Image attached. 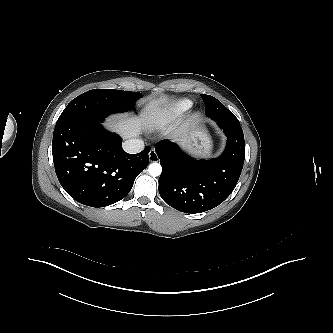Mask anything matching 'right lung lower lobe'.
Returning a JSON list of instances; mask_svg holds the SVG:
<instances>
[{
	"instance_id": "obj_1",
	"label": "right lung lower lobe",
	"mask_w": 333,
	"mask_h": 333,
	"mask_svg": "<svg viewBox=\"0 0 333 333\" xmlns=\"http://www.w3.org/2000/svg\"><path fill=\"white\" fill-rule=\"evenodd\" d=\"M121 141L104 129L101 121H57L52 141L55 172L73 199L105 207L130 192L135 178L148 165L150 147L128 154Z\"/></svg>"
}]
</instances>
